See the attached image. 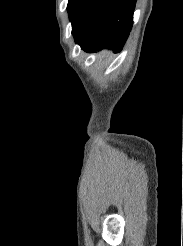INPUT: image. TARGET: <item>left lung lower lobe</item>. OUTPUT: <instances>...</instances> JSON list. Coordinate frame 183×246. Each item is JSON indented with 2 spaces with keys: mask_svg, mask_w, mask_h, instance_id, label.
<instances>
[{
  "mask_svg": "<svg viewBox=\"0 0 183 246\" xmlns=\"http://www.w3.org/2000/svg\"><path fill=\"white\" fill-rule=\"evenodd\" d=\"M136 0H72L67 8L75 42L86 52H119L133 25Z\"/></svg>",
  "mask_w": 183,
  "mask_h": 246,
  "instance_id": "obj_1",
  "label": "left lung lower lobe"
}]
</instances>
